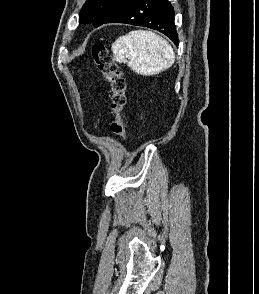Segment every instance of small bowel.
I'll use <instances>...</instances> for the list:
<instances>
[{"mask_svg":"<svg viewBox=\"0 0 259 294\" xmlns=\"http://www.w3.org/2000/svg\"><path fill=\"white\" fill-rule=\"evenodd\" d=\"M99 120L97 119L94 123V128H97Z\"/></svg>","mask_w":259,"mask_h":294,"instance_id":"c3829d8e","label":"small bowel"}]
</instances>
